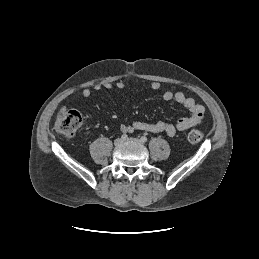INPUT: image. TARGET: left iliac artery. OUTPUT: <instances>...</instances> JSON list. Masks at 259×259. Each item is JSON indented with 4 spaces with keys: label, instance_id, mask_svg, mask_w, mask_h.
I'll use <instances>...</instances> for the list:
<instances>
[{
    "label": "left iliac artery",
    "instance_id": "left-iliac-artery-1",
    "mask_svg": "<svg viewBox=\"0 0 259 259\" xmlns=\"http://www.w3.org/2000/svg\"><path fill=\"white\" fill-rule=\"evenodd\" d=\"M140 140H141V142L145 143V142H147V137L142 136Z\"/></svg>",
    "mask_w": 259,
    "mask_h": 259
}]
</instances>
